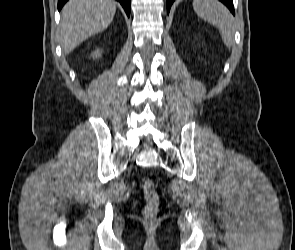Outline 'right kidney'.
Listing matches in <instances>:
<instances>
[{"instance_id":"right-kidney-1","label":"right kidney","mask_w":295,"mask_h":250,"mask_svg":"<svg viewBox=\"0 0 295 250\" xmlns=\"http://www.w3.org/2000/svg\"><path fill=\"white\" fill-rule=\"evenodd\" d=\"M101 53H102V51H101L100 49H96V50L92 53V57H93L94 59H98V58L101 57Z\"/></svg>"}]
</instances>
